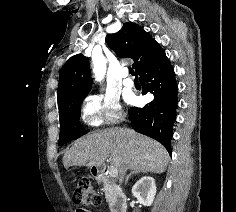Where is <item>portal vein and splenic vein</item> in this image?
Instances as JSON below:
<instances>
[{"label":"portal vein and splenic vein","mask_w":236,"mask_h":212,"mask_svg":"<svg viewBox=\"0 0 236 212\" xmlns=\"http://www.w3.org/2000/svg\"><path fill=\"white\" fill-rule=\"evenodd\" d=\"M117 175H118L117 169L115 167H110L109 176L116 177Z\"/></svg>","instance_id":"obj_1"}]
</instances>
